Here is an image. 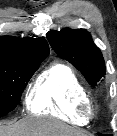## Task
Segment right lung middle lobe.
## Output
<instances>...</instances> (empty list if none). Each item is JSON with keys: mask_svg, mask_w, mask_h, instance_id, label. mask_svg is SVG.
Masks as SVG:
<instances>
[{"mask_svg": "<svg viewBox=\"0 0 117 136\" xmlns=\"http://www.w3.org/2000/svg\"><path fill=\"white\" fill-rule=\"evenodd\" d=\"M43 60L0 61V113H9L18 105L23 89Z\"/></svg>", "mask_w": 117, "mask_h": 136, "instance_id": "1", "label": "right lung middle lobe"}]
</instances>
